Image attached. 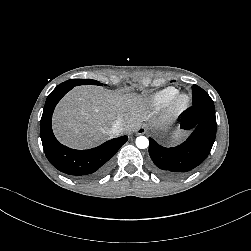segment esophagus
Returning a JSON list of instances; mask_svg holds the SVG:
<instances>
[{
	"mask_svg": "<svg viewBox=\"0 0 251 251\" xmlns=\"http://www.w3.org/2000/svg\"><path fill=\"white\" fill-rule=\"evenodd\" d=\"M136 133H137V134H144V133H146L145 127H143V126L137 127V128H136Z\"/></svg>",
	"mask_w": 251,
	"mask_h": 251,
	"instance_id": "esophagus-1",
	"label": "esophagus"
}]
</instances>
